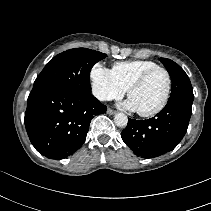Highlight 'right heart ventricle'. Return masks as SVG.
<instances>
[{
	"instance_id": "obj_1",
	"label": "right heart ventricle",
	"mask_w": 211,
	"mask_h": 211,
	"mask_svg": "<svg viewBox=\"0 0 211 211\" xmlns=\"http://www.w3.org/2000/svg\"><path fill=\"white\" fill-rule=\"evenodd\" d=\"M156 67L159 66L153 61L133 60L116 62L112 66L111 71L122 88L127 90L129 86L144 72Z\"/></svg>"
}]
</instances>
